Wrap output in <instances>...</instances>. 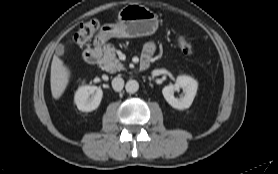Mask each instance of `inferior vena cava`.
<instances>
[{
	"label": "inferior vena cava",
	"instance_id": "obj_1",
	"mask_svg": "<svg viewBox=\"0 0 278 174\" xmlns=\"http://www.w3.org/2000/svg\"><path fill=\"white\" fill-rule=\"evenodd\" d=\"M112 87L115 91H121L124 87V80L121 77H115L112 80Z\"/></svg>",
	"mask_w": 278,
	"mask_h": 174
}]
</instances>
